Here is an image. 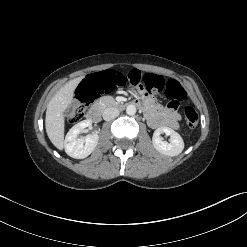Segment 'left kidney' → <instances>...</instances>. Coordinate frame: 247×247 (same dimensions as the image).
<instances>
[{"mask_svg": "<svg viewBox=\"0 0 247 247\" xmlns=\"http://www.w3.org/2000/svg\"><path fill=\"white\" fill-rule=\"evenodd\" d=\"M165 133L170 136V143L162 141L161 134ZM154 148L163 155L177 156L184 149V141L179 133L168 127H159L154 131L152 137Z\"/></svg>", "mask_w": 247, "mask_h": 247, "instance_id": "obj_1", "label": "left kidney"}]
</instances>
